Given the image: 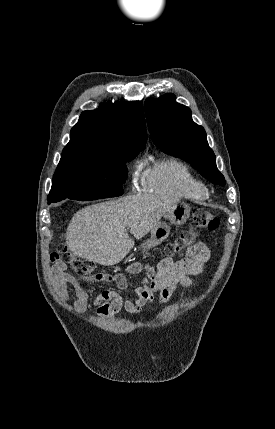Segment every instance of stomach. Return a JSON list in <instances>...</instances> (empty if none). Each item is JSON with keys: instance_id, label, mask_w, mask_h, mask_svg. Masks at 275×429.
Wrapping results in <instances>:
<instances>
[{"instance_id": "0dacf381", "label": "stomach", "mask_w": 275, "mask_h": 429, "mask_svg": "<svg viewBox=\"0 0 275 429\" xmlns=\"http://www.w3.org/2000/svg\"><path fill=\"white\" fill-rule=\"evenodd\" d=\"M190 215V206L184 202H178L174 208L165 214V218L170 222L159 221L157 225L151 230L150 238L143 244V250H148L162 243L170 233V224L182 225Z\"/></svg>"}]
</instances>
